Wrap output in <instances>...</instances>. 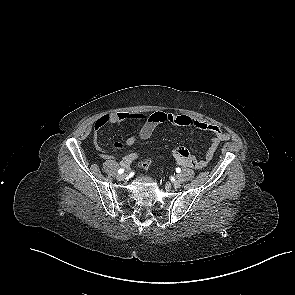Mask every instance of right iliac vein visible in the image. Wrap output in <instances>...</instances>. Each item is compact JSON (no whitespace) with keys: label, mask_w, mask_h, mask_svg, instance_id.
<instances>
[{"label":"right iliac vein","mask_w":295,"mask_h":295,"mask_svg":"<svg viewBox=\"0 0 295 295\" xmlns=\"http://www.w3.org/2000/svg\"><path fill=\"white\" fill-rule=\"evenodd\" d=\"M125 177H126L125 174H119V175L117 176V179H118L119 181H122V180L125 179Z\"/></svg>","instance_id":"right-iliac-vein-1"}]
</instances>
